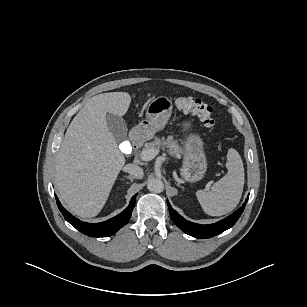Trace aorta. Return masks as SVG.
<instances>
[{"mask_svg":"<svg viewBox=\"0 0 307 307\" xmlns=\"http://www.w3.org/2000/svg\"><path fill=\"white\" fill-rule=\"evenodd\" d=\"M147 188L154 193H160L164 190V184L161 179L151 178L148 180Z\"/></svg>","mask_w":307,"mask_h":307,"instance_id":"aorta-1","label":"aorta"}]
</instances>
